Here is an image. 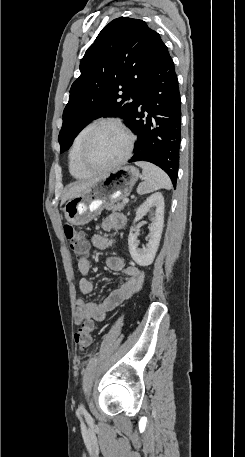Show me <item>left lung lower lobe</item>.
Wrapping results in <instances>:
<instances>
[{"instance_id": "0a47b994", "label": "left lung lower lobe", "mask_w": 245, "mask_h": 457, "mask_svg": "<svg viewBox=\"0 0 245 457\" xmlns=\"http://www.w3.org/2000/svg\"><path fill=\"white\" fill-rule=\"evenodd\" d=\"M128 127L137 135L135 154L129 162L148 161L159 166L176 187L181 142V98L174 63L162 40L155 49L140 87L139 107Z\"/></svg>"}]
</instances>
